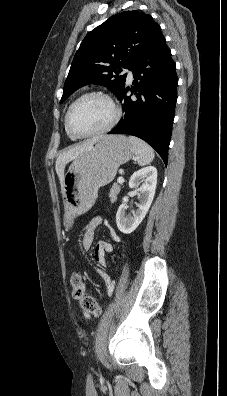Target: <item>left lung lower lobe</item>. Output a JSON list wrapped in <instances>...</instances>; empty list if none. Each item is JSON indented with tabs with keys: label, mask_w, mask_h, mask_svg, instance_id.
<instances>
[{
	"label": "left lung lower lobe",
	"mask_w": 227,
	"mask_h": 396,
	"mask_svg": "<svg viewBox=\"0 0 227 396\" xmlns=\"http://www.w3.org/2000/svg\"><path fill=\"white\" fill-rule=\"evenodd\" d=\"M134 74L135 98L127 96L124 87L118 99L123 103L124 117L107 134H129L151 145L168 161L174 110L177 101L176 64L164 36L151 45L130 69Z\"/></svg>",
	"instance_id": "0a47b994"
}]
</instances>
